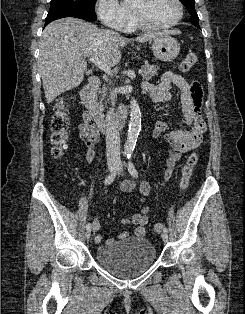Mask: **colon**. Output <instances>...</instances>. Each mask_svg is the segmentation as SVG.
Instances as JSON below:
<instances>
[{
    "label": "colon",
    "instance_id": "colon-1",
    "mask_svg": "<svg viewBox=\"0 0 245 314\" xmlns=\"http://www.w3.org/2000/svg\"><path fill=\"white\" fill-rule=\"evenodd\" d=\"M198 58L194 53H189L180 64V70L188 72L197 63ZM70 105L64 97L57 99L54 107V115L51 121V136L50 142L52 145L51 154L54 158L60 159L64 156L68 148L67 130L69 126L68 112ZM198 161V154L193 152L189 155L186 164L181 172V190H185L189 184V180L193 174L194 167ZM164 228L163 223H156L154 231L160 233Z\"/></svg>",
    "mask_w": 245,
    "mask_h": 314
}]
</instances>
